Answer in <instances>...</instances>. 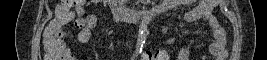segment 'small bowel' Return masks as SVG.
<instances>
[{"mask_svg": "<svg viewBox=\"0 0 267 60\" xmlns=\"http://www.w3.org/2000/svg\"><path fill=\"white\" fill-rule=\"evenodd\" d=\"M100 1L92 0L88 2H83L81 4H74L73 9L78 14L77 21H82L83 26L79 29L77 34V40L79 43H87L90 40L92 29L98 23V18L93 14H85V7L94 5ZM191 0H167L163 2L162 8L169 9L175 5L179 4H190ZM218 0H201L197 2L194 9L187 12L184 16L186 22H194L198 20L206 21L211 28V39L212 42L209 45V54L215 57L217 60H224L227 56L225 49L226 46V31L220 22L213 15L214 8L218 5ZM54 27V23H51L49 29ZM175 39L169 37L167 39V44L172 46ZM198 41H192L191 43L184 46L179 54L178 60H188L192 52L193 47ZM170 55L166 50H159L156 52H144L141 56V60H170ZM205 59V57H204Z\"/></svg>", "mask_w": 267, "mask_h": 60, "instance_id": "1", "label": "small bowel"}]
</instances>
